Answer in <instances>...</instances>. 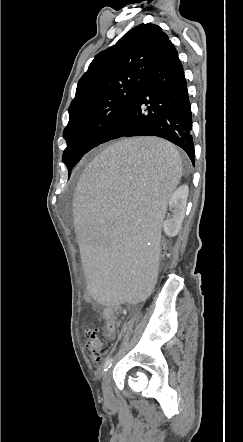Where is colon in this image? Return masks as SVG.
<instances>
[{"instance_id": "colon-1", "label": "colon", "mask_w": 243, "mask_h": 442, "mask_svg": "<svg viewBox=\"0 0 243 442\" xmlns=\"http://www.w3.org/2000/svg\"><path fill=\"white\" fill-rule=\"evenodd\" d=\"M169 238L168 233L163 232L160 234L159 241L162 243V250L158 251L157 256L160 259H164L169 252V247L165 245ZM84 344L89 352L90 357L95 360H101L107 353L108 347L103 343L100 337V333L97 327H89L85 331Z\"/></svg>"}]
</instances>
